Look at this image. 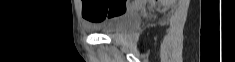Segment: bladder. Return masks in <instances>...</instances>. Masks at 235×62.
<instances>
[{
	"instance_id": "1",
	"label": "bladder",
	"mask_w": 235,
	"mask_h": 62,
	"mask_svg": "<svg viewBox=\"0 0 235 62\" xmlns=\"http://www.w3.org/2000/svg\"><path fill=\"white\" fill-rule=\"evenodd\" d=\"M140 22V14L136 8H130L113 16L102 27L101 31L107 35H115L136 27Z\"/></svg>"
}]
</instances>
